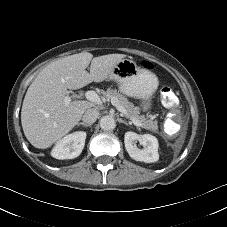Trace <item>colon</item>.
<instances>
[{"instance_id":"5ec220e1","label":"colon","mask_w":227,"mask_h":227,"mask_svg":"<svg viewBox=\"0 0 227 227\" xmlns=\"http://www.w3.org/2000/svg\"><path fill=\"white\" fill-rule=\"evenodd\" d=\"M161 98L169 105L176 106L179 103V99L172 88L164 87L160 91Z\"/></svg>"}]
</instances>
